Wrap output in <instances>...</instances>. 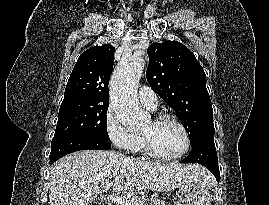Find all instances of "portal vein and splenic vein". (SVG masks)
I'll return each instance as SVG.
<instances>
[{"label": "portal vein and splenic vein", "mask_w": 269, "mask_h": 205, "mask_svg": "<svg viewBox=\"0 0 269 205\" xmlns=\"http://www.w3.org/2000/svg\"><path fill=\"white\" fill-rule=\"evenodd\" d=\"M113 185V182L112 181H108V182H105L104 184H102V188L104 191H107L110 189V187ZM108 198L117 203V204H120V205H133V203L129 200L128 197H124V196H121L119 194H116V193H111L108 195Z\"/></svg>", "instance_id": "18ae733b"}]
</instances>
